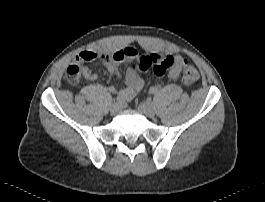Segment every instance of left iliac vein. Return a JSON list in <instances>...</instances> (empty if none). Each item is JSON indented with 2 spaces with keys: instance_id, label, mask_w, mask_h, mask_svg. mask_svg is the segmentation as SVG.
<instances>
[{
  "instance_id": "left-iliac-vein-1",
  "label": "left iliac vein",
  "mask_w": 265,
  "mask_h": 202,
  "mask_svg": "<svg viewBox=\"0 0 265 202\" xmlns=\"http://www.w3.org/2000/svg\"><path fill=\"white\" fill-rule=\"evenodd\" d=\"M138 111L149 118H153L155 116V109L153 107V104L148 100L143 101L139 104Z\"/></svg>"
}]
</instances>
